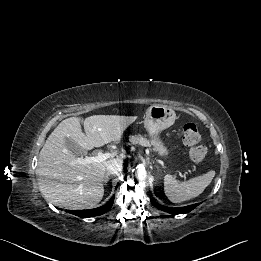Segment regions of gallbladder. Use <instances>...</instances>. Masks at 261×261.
Here are the masks:
<instances>
[{"mask_svg": "<svg viewBox=\"0 0 261 261\" xmlns=\"http://www.w3.org/2000/svg\"><path fill=\"white\" fill-rule=\"evenodd\" d=\"M66 146L68 148L69 151H71L73 154L75 155H80L82 153H84V151L71 139L66 138Z\"/></svg>", "mask_w": 261, "mask_h": 261, "instance_id": "bac80fb5", "label": "gallbladder"}]
</instances>
